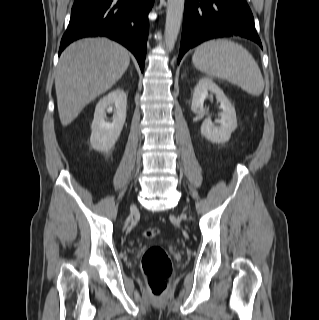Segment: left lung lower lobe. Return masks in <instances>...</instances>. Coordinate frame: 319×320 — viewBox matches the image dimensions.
<instances>
[{
    "label": "left lung lower lobe",
    "instance_id": "left-lung-lower-lobe-1",
    "mask_svg": "<svg viewBox=\"0 0 319 320\" xmlns=\"http://www.w3.org/2000/svg\"><path fill=\"white\" fill-rule=\"evenodd\" d=\"M240 36L262 44L245 0H185L178 63L184 53L203 41Z\"/></svg>",
    "mask_w": 319,
    "mask_h": 320
}]
</instances>
